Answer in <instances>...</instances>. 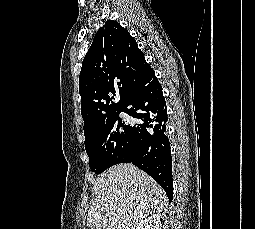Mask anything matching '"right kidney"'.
Here are the masks:
<instances>
[{"label":"right kidney","instance_id":"ca27d5eb","mask_svg":"<svg viewBox=\"0 0 255 229\" xmlns=\"http://www.w3.org/2000/svg\"><path fill=\"white\" fill-rule=\"evenodd\" d=\"M160 219H161V214L157 212L156 214H153L145 218L144 220H142L138 224L136 229H161Z\"/></svg>","mask_w":255,"mask_h":229}]
</instances>
